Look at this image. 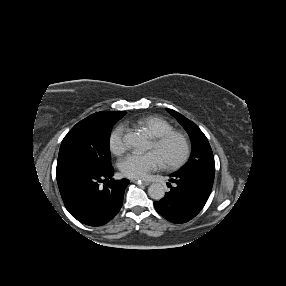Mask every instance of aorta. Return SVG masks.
Listing matches in <instances>:
<instances>
[{
    "instance_id": "1",
    "label": "aorta",
    "mask_w": 286,
    "mask_h": 286,
    "mask_svg": "<svg viewBox=\"0 0 286 286\" xmlns=\"http://www.w3.org/2000/svg\"><path fill=\"white\" fill-rule=\"evenodd\" d=\"M124 141L137 148H144L146 145V138L135 132L127 133ZM165 191V186L160 183H153L148 187V195L154 200H161L165 196Z\"/></svg>"
}]
</instances>
